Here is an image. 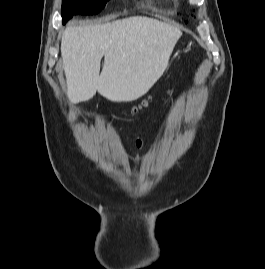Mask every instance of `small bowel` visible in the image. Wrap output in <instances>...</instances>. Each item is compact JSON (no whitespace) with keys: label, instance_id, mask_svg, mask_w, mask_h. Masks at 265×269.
<instances>
[{"label":"small bowel","instance_id":"small-bowel-1","mask_svg":"<svg viewBox=\"0 0 265 269\" xmlns=\"http://www.w3.org/2000/svg\"><path fill=\"white\" fill-rule=\"evenodd\" d=\"M136 145L139 147V148H144V140L142 138H138L136 140Z\"/></svg>","mask_w":265,"mask_h":269}]
</instances>
